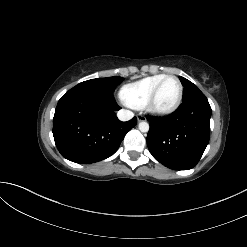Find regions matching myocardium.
Masks as SVG:
<instances>
[{
    "label": "myocardium",
    "mask_w": 247,
    "mask_h": 247,
    "mask_svg": "<svg viewBox=\"0 0 247 247\" xmlns=\"http://www.w3.org/2000/svg\"><path fill=\"white\" fill-rule=\"evenodd\" d=\"M168 79H175L177 81V83L179 85L178 98H177L176 102L171 107H169L167 109H157L155 107L156 97L158 95V92H159L161 86ZM183 92H184V89H183V84H182L181 80L175 75H166L154 87V89L151 92V94L149 95L144 107L149 113H151L153 115H156V116H168V115H171L180 107V105L182 103V100H183Z\"/></svg>",
    "instance_id": "obj_1"
}]
</instances>
